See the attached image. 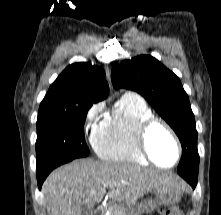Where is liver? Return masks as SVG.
<instances>
[{"label":"liver","mask_w":221,"mask_h":215,"mask_svg":"<svg viewBox=\"0 0 221 215\" xmlns=\"http://www.w3.org/2000/svg\"><path fill=\"white\" fill-rule=\"evenodd\" d=\"M176 176L134 164L80 159L54 170L42 192L48 215H80L106 194L117 203H136L145 194L163 188L184 189Z\"/></svg>","instance_id":"obj_1"}]
</instances>
